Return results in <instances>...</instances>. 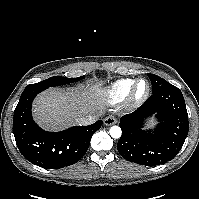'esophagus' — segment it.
<instances>
[{"instance_id": "34e87169", "label": "esophagus", "mask_w": 199, "mask_h": 199, "mask_svg": "<svg viewBox=\"0 0 199 199\" xmlns=\"http://www.w3.org/2000/svg\"><path fill=\"white\" fill-rule=\"evenodd\" d=\"M117 123V119L113 115H109L104 119V124L106 126H111Z\"/></svg>"}]
</instances>
